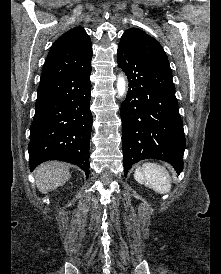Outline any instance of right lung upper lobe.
Segmentation results:
<instances>
[{
  "label": "right lung upper lobe",
  "mask_w": 221,
  "mask_h": 274,
  "mask_svg": "<svg viewBox=\"0 0 221 274\" xmlns=\"http://www.w3.org/2000/svg\"><path fill=\"white\" fill-rule=\"evenodd\" d=\"M91 59V40L85 30L82 27H75L67 31L51 46L40 85L91 66Z\"/></svg>",
  "instance_id": "cb5924a9"
}]
</instances>
